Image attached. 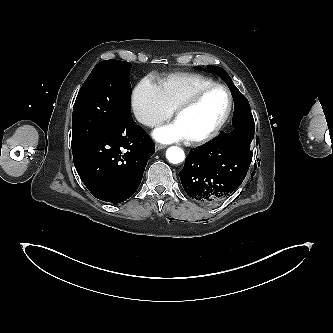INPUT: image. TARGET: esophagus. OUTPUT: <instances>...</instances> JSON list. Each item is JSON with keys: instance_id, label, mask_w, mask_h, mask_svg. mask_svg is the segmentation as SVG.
Masks as SVG:
<instances>
[{"instance_id": "esophagus-1", "label": "esophagus", "mask_w": 333, "mask_h": 333, "mask_svg": "<svg viewBox=\"0 0 333 333\" xmlns=\"http://www.w3.org/2000/svg\"><path fill=\"white\" fill-rule=\"evenodd\" d=\"M164 148H165L164 145H161V144H156V145H155V149H156L157 151L162 150V149H164Z\"/></svg>"}]
</instances>
